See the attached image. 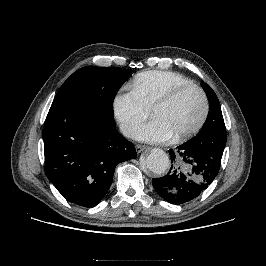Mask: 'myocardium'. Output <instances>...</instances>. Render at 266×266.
<instances>
[{"mask_svg":"<svg viewBox=\"0 0 266 266\" xmlns=\"http://www.w3.org/2000/svg\"><path fill=\"white\" fill-rule=\"evenodd\" d=\"M189 90H196L201 95L203 101L202 113L197 122L191 128L174 135V139L176 140H183L191 137L192 135L196 134L204 125L209 113V99L204 89L196 84H186L178 86L162 96L151 108L152 114L154 115L157 109L171 104L181 94Z\"/></svg>","mask_w":266,"mask_h":266,"instance_id":"f54148a6","label":"myocardium"}]
</instances>
